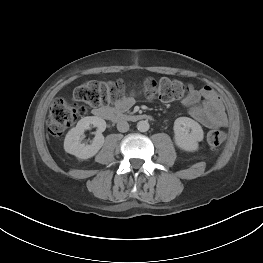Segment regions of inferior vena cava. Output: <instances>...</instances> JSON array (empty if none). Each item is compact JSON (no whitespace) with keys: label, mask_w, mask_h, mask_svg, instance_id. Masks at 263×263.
<instances>
[{"label":"inferior vena cava","mask_w":263,"mask_h":263,"mask_svg":"<svg viewBox=\"0 0 263 263\" xmlns=\"http://www.w3.org/2000/svg\"><path fill=\"white\" fill-rule=\"evenodd\" d=\"M117 129L119 132H127L129 130V124L127 121L121 120L117 123Z\"/></svg>","instance_id":"inferior-vena-cava-1"}]
</instances>
